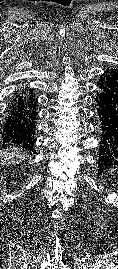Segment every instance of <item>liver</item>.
<instances>
[{"label":"liver","instance_id":"liver-1","mask_svg":"<svg viewBox=\"0 0 118 269\" xmlns=\"http://www.w3.org/2000/svg\"><path fill=\"white\" fill-rule=\"evenodd\" d=\"M0 157L4 165L19 164L26 158V154L19 150L17 147L9 148L1 151Z\"/></svg>","mask_w":118,"mask_h":269}]
</instances>
